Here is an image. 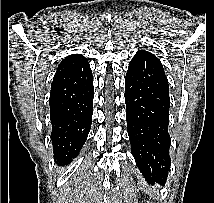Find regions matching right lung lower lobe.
<instances>
[{"label":"right lung lower lobe","mask_w":214,"mask_h":203,"mask_svg":"<svg viewBox=\"0 0 214 203\" xmlns=\"http://www.w3.org/2000/svg\"><path fill=\"white\" fill-rule=\"evenodd\" d=\"M93 97V75L88 62L54 77L49 106L51 140L58 164H69L84 145L92 122Z\"/></svg>","instance_id":"obj_1"}]
</instances>
